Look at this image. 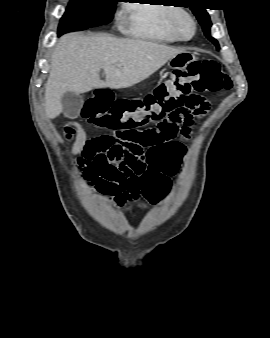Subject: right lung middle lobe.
I'll list each match as a JSON object with an SVG mask.
<instances>
[{"label": "right lung middle lobe", "mask_w": 270, "mask_h": 338, "mask_svg": "<svg viewBox=\"0 0 270 338\" xmlns=\"http://www.w3.org/2000/svg\"><path fill=\"white\" fill-rule=\"evenodd\" d=\"M119 0H70L60 20L58 35L109 23Z\"/></svg>", "instance_id": "1"}]
</instances>
